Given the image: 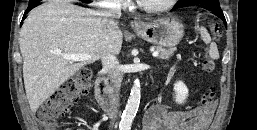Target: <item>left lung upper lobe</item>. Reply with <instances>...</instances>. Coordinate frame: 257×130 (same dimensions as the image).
I'll list each match as a JSON object with an SVG mask.
<instances>
[{"mask_svg":"<svg viewBox=\"0 0 257 130\" xmlns=\"http://www.w3.org/2000/svg\"><path fill=\"white\" fill-rule=\"evenodd\" d=\"M201 0H179L176 6L180 5H185V4H190V3H199L200 4Z\"/></svg>","mask_w":257,"mask_h":130,"instance_id":"1","label":"left lung upper lobe"}]
</instances>
